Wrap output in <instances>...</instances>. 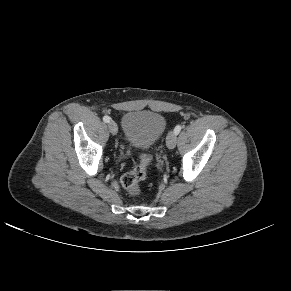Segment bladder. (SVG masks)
<instances>
[{
	"instance_id": "bladder-1",
	"label": "bladder",
	"mask_w": 291,
	"mask_h": 291,
	"mask_svg": "<svg viewBox=\"0 0 291 291\" xmlns=\"http://www.w3.org/2000/svg\"><path fill=\"white\" fill-rule=\"evenodd\" d=\"M166 128L164 116L147 110L129 111L122 118L125 142L132 148L145 150L152 147Z\"/></svg>"
}]
</instances>
